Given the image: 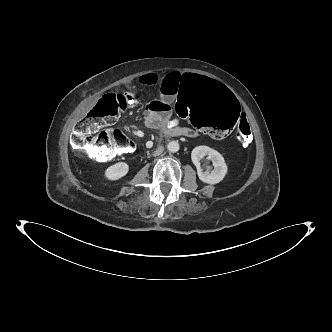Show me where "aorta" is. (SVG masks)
<instances>
[{
  "instance_id": "aorta-1",
  "label": "aorta",
  "mask_w": 332,
  "mask_h": 332,
  "mask_svg": "<svg viewBox=\"0 0 332 332\" xmlns=\"http://www.w3.org/2000/svg\"><path fill=\"white\" fill-rule=\"evenodd\" d=\"M169 152L176 153L179 150V144L177 141H171L167 145Z\"/></svg>"
}]
</instances>
